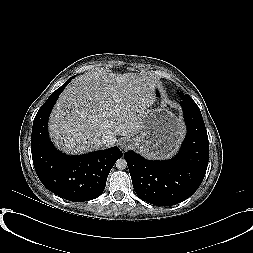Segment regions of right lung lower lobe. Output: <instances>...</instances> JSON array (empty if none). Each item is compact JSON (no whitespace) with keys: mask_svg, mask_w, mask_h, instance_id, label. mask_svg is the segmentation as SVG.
<instances>
[{"mask_svg":"<svg viewBox=\"0 0 253 253\" xmlns=\"http://www.w3.org/2000/svg\"><path fill=\"white\" fill-rule=\"evenodd\" d=\"M72 78L54 91L37 112L32 128L31 152L36 173L48 190L66 200L82 202L102 194L108 174L122 152L112 147L69 156L58 151L50 142L47 128L49 115Z\"/></svg>","mask_w":253,"mask_h":253,"instance_id":"98d812e1","label":"right lung lower lobe"}]
</instances>
